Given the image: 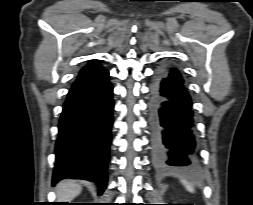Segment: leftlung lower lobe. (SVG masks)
<instances>
[{
  "label": "left lung lower lobe",
  "instance_id": "obj_1",
  "mask_svg": "<svg viewBox=\"0 0 253 205\" xmlns=\"http://www.w3.org/2000/svg\"><path fill=\"white\" fill-rule=\"evenodd\" d=\"M190 96L181 74L168 67L154 84L150 125L155 163L159 166L194 167L195 140Z\"/></svg>",
  "mask_w": 253,
  "mask_h": 205
}]
</instances>
